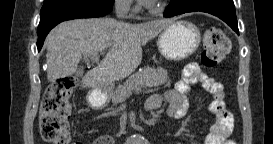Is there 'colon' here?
<instances>
[{"label":"colon","mask_w":273,"mask_h":144,"mask_svg":"<svg viewBox=\"0 0 273 144\" xmlns=\"http://www.w3.org/2000/svg\"><path fill=\"white\" fill-rule=\"evenodd\" d=\"M230 43L218 26L207 28L203 38L201 63L207 69L216 67L227 55ZM76 86V78L62 77L53 81L47 89L39 116L40 133L44 141L67 144L72 140L68 118L71 114L69 96Z\"/></svg>","instance_id":"obj_1"}]
</instances>
